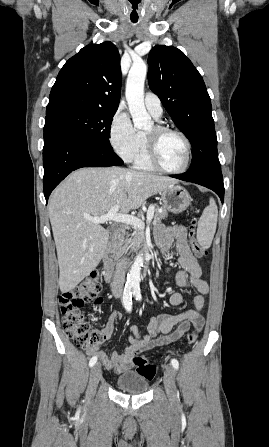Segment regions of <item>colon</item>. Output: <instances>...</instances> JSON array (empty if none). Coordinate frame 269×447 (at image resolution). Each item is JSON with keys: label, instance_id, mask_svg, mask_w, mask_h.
<instances>
[{"label": "colon", "instance_id": "5ec220e1", "mask_svg": "<svg viewBox=\"0 0 269 447\" xmlns=\"http://www.w3.org/2000/svg\"><path fill=\"white\" fill-rule=\"evenodd\" d=\"M196 232V221L193 220L190 226L191 242L190 248L193 254L199 258L206 256V251L194 238ZM102 279L98 272H93L86 276L76 287L64 291L58 298L60 312L62 316V326L66 330L72 341L81 348L96 347L102 342V335L91 328L86 312L82 309L87 306L95 309L101 304L100 293L102 290ZM196 331L190 329L187 332V342L194 343ZM183 349L166 350L162 357L177 355ZM134 371L146 380H152L157 374V366L149 362L143 355H135L132 358Z\"/></svg>", "mask_w": 269, "mask_h": 447}]
</instances>
